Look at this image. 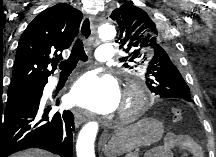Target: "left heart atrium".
<instances>
[{"instance_id": "left-heart-atrium-1", "label": "left heart atrium", "mask_w": 216, "mask_h": 157, "mask_svg": "<svg viewBox=\"0 0 216 157\" xmlns=\"http://www.w3.org/2000/svg\"><path fill=\"white\" fill-rule=\"evenodd\" d=\"M67 102L92 112L109 113L118 107L120 92L112 78L88 73L73 85Z\"/></svg>"}]
</instances>
